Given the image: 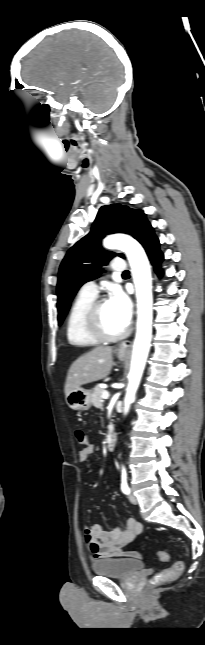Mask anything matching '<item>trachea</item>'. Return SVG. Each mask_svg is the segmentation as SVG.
I'll return each instance as SVG.
<instances>
[{
  "label": "trachea",
  "mask_w": 205,
  "mask_h": 645,
  "mask_svg": "<svg viewBox=\"0 0 205 645\" xmlns=\"http://www.w3.org/2000/svg\"><path fill=\"white\" fill-rule=\"evenodd\" d=\"M128 274H129V271H128V270H126V271H124V272H123V275H128Z\"/></svg>",
  "instance_id": "1"
}]
</instances>
